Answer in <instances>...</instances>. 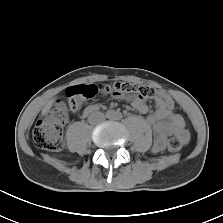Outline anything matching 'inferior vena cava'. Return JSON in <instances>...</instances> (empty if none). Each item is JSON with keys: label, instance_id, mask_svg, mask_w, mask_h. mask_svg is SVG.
I'll list each match as a JSON object with an SVG mask.
<instances>
[{"label": "inferior vena cava", "instance_id": "602c4592", "mask_svg": "<svg viewBox=\"0 0 223 223\" xmlns=\"http://www.w3.org/2000/svg\"><path fill=\"white\" fill-rule=\"evenodd\" d=\"M89 119H90V121H92L93 119H97L100 122L105 119V116L103 113L96 112V113L92 114Z\"/></svg>", "mask_w": 223, "mask_h": 223}]
</instances>
